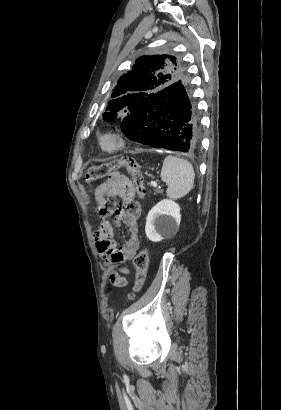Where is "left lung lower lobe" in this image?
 Instances as JSON below:
<instances>
[{
	"mask_svg": "<svg viewBox=\"0 0 281 410\" xmlns=\"http://www.w3.org/2000/svg\"><path fill=\"white\" fill-rule=\"evenodd\" d=\"M121 128L128 138L143 145L196 151L201 130L187 80L177 81L154 94L142 111L123 119Z\"/></svg>",
	"mask_w": 281,
	"mask_h": 410,
	"instance_id": "obj_1",
	"label": "left lung lower lobe"
}]
</instances>
